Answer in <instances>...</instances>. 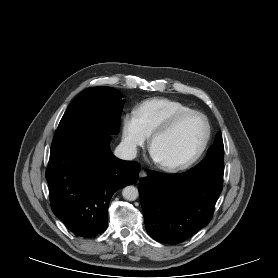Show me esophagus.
Wrapping results in <instances>:
<instances>
[{"label":"esophagus","mask_w":278,"mask_h":278,"mask_svg":"<svg viewBox=\"0 0 278 278\" xmlns=\"http://www.w3.org/2000/svg\"><path fill=\"white\" fill-rule=\"evenodd\" d=\"M146 175H147V173H146V171H144V170H141V171L139 172V178H140V179L146 177Z\"/></svg>","instance_id":"obj_1"}]
</instances>
